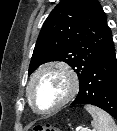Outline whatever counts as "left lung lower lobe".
Masks as SVG:
<instances>
[{
	"label": "left lung lower lobe",
	"mask_w": 117,
	"mask_h": 131,
	"mask_svg": "<svg viewBox=\"0 0 117 131\" xmlns=\"http://www.w3.org/2000/svg\"><path fill=\"white\" fill-rule=\"evenodd\" d=\"M74 104L95 105L117 120V60L111 37L109 46L90 66Z\"/></svg>",
	"instance_id": "0a47b994"
}]
</instances>
